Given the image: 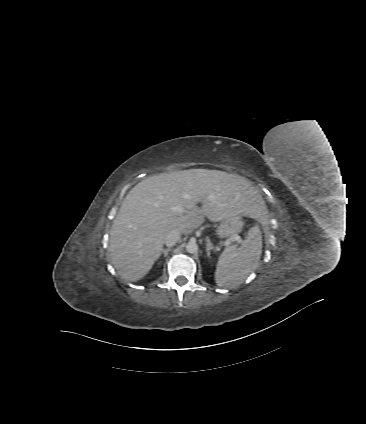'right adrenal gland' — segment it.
Masks as SVG:
<instances>
[{"label":"right adrenal gland","instance_id":"obj_1","mask_svg":"<svg viewBox=\"0 0 366 424\" xmlns=\"http://www.w3.org/2000/svg\"><path fill=\"white\" fill-rule=\"evenodd\" d=\"M170 250H171V248L162 249V251H161V253H160V256H161L162 254H164V257H167L168 252H169Z\"/></svg>","mask_w":366,"mask_h":424}]
</instances>
